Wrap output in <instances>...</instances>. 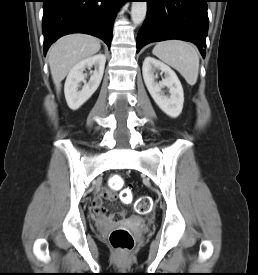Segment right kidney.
Returning a JSON list of instances; mask_svg holds the SVG:
<instances>
[{
	"label": "right kidney",
	"mask_w": 258,
	"mask_h": 275,
	"mask_svg": "<svg viewBox=\"0 0 258 275\" xmlns=\"http://www.w3.org/2000/svg\"><path fill=\"white\" fill-rule=\"evenodd\" d=\"M106 57L103 54L88 57L77 63L69 72L64 85V93L68 106L72 110L80 108L97 90L103 77ZM95 67L88 83L79 90L80 82L84 80L83 71Z\"/></svg>",
	"instance_id": "right-kidney-1"
}]
</instances>
